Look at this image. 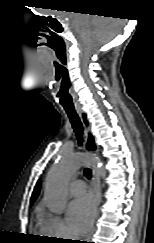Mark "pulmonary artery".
I'll return each mask as SVG.
<instances>
[{"label":"pulmonary artery","mask_w":154,"mask_h":243,"mask_svg":"<svg viewBox=\"0 0 154 243\" xmlns=\"http://www.w3.org/2000/svg\"><path fill=\"white\" fill-rule=\"evenodd\" d=\"M86 186L82 180H75L69 185V191L73 196H80L85 192Z\"/></svg>","instance_id":"obj_1"}]
</instances>
